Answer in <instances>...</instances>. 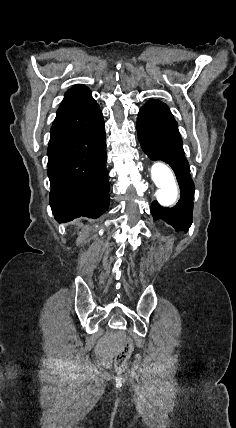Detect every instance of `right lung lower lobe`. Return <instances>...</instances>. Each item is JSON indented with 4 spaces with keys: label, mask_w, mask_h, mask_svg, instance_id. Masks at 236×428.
<instances>
[{
    "label": "right lung lower lobe",
    "mask_w": 236,
    "mask_h": 428,
    "mask_svg": "<svg viewBox=\"0 0 236 428\" xmlns=\"http://www.w3.org/2000/svg\"><path fill=\"white\" fill-rule=\"evenodd\" d=\"M50 206L68 222L100 217L109 207L105 123L99 106L56 116L48 146Z\"/></svg>",
    "instance_id": "obj_1"
}]
</instances>
